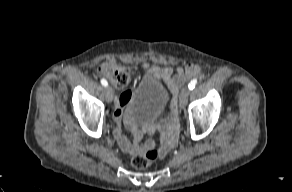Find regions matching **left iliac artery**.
I'll list each match as a JSON object with an SVG mask.
<instances>
[{"mask_svg":"<svg viewBox=\"0 0 292 192\" xmlns=\"http://www.w3.org/2000/svg\"><path fill=\"white\" fill-rule=\"evenodd\" d=\"M196 84H197V79H193V80L190 81V83L188 85V88L190 90H192L195 87Z\"/></svg>","mask_w":292,"mask_h":192,"instance_id":"44dca946","label":"left iliac artery"}]
</instances>
